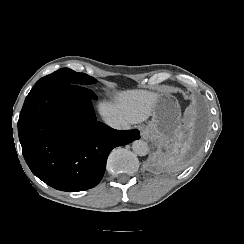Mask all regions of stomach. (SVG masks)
I'll return each mask as SVG.
<instances>
[{
    "label": "stomach",
    "instance_id": "stomach-1",
    "mask_svg": "<svg viewBox=\"0 0 244 244\" xmlns=\"http://www.w3.org/2000/svg\"><path fill=\"white\" fill-rule=\"evenodd\" d=\"M144 129L149 131V138L156 140L167 152L178 148L183 137L178 99L168 92L157 94L152 119Z\"/></svg>",
    "mask_w": 244,
    "mask_h": 244
}]
</instances>
